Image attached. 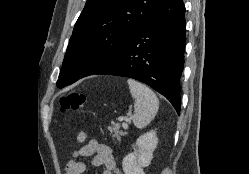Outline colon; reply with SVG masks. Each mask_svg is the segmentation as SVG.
Returning <instances> with one entry per match:
<instances>
[{"label":"colon","mask_w":249,"mask_h":174,"mask_svg":"<svg viewBox=\"0 0 249 174\" xmlns=\"http://www.w3.org/2000/svg\"><path fill=\"white\" fill-rule=\"evenodd\" d=\"M86 103V96L81 91H71L60 99V108L62 111H82Z\"/></svg>","instance_id":"colon-1"}]
</instances>
